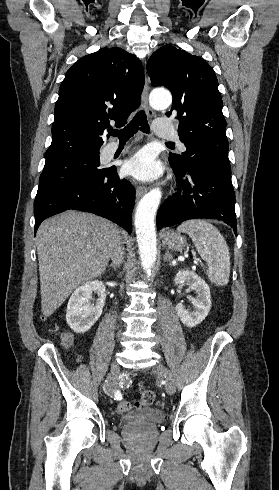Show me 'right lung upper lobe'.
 <instances>
[{
    "label": "right lung upper lobe",
    "instance_id": "cb5924a9",
    "mask_svg": "<svg viewBox=\"0 0 279 490\" xmlns=\"http://www.w3.org/2000/svg\"><path fill=\"white\" fill-rule=\"evenodd\" d=\"M141 62L122 48H104L78 60L59 89L46 162L98 156L109 120L123 126L139 105Z\"/></svg>",
    "mask_w": 279,
    "mask_h": 490
}]
</instances>
